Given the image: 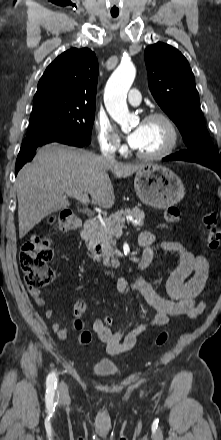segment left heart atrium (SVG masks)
I'll use <instances>...</instances> for the list:
<instances>
[{
  "label": "left heart atrium",
  "instance_id": "left-heart-atrium-1",
  "mask_svg": "<svg viewBox=\"0 0 221 440\" xmlns=\"http://www.w3.org/2000/svg\"><path fill=\"white\" fill-rule=\"evenodd\" d=\"M144 131L145 125L144 122H142L138 124V126L129 134L128 142L132 147L138 148L140 146Z\"/></svg>",
  "mask_w": 221,
  "mask_h": 440
}]
</instances>
